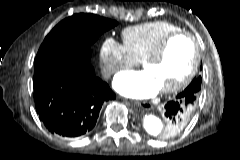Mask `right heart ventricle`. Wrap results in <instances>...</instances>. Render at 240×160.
Here are the masks:
<instances>
[{"label": "right heart ventricle", "instance_id": "1", "mask_svg": "<svg viewBox=\"0 0 240 160\" xmlns=\"http://www.w3.org/2000/svg\"><path fill=\"white\" fill-rule=\"evenodd\" d=\"M180 30V27L167 21L148 22L125 28L122 40L131 58L141 61L165 36Z\"/></svg>", "mask_w": 240, "mask_h": 160}]
</instances>
